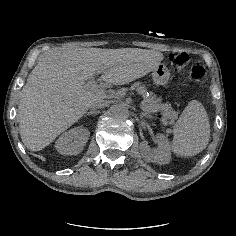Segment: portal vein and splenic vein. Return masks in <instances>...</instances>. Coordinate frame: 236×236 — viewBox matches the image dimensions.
Here are the masks:
<instances>
[{
	"instance_id": "18ae733b",
	"label": "portal vein and splenic vein",
	"mask_w": 236,
	"mask_h": 236,
	"mask_svg": "<svg viewBox=\"0 0 236 236\" xmlns=\"http://www.w3.org/2000/svg\"><path fill=\"white\" fill-rule=\"evenodd\" d=\"M103 87V83L98 84L97 81H95L93 78H91L85 85L84 88L90 89V88H96L99 90H102L101 88ZM120 92L118 91L117 93H114L113 95L115 97L120 96Z\"/></svg>"
}]
</instances>
